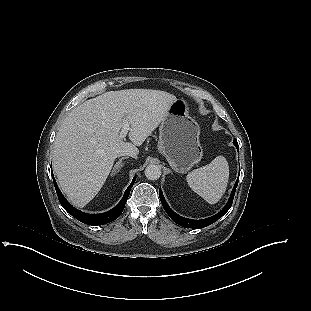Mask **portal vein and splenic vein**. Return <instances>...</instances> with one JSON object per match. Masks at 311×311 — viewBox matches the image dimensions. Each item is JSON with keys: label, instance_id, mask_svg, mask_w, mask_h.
I'll return each instance as SVG.
<instances>
[{"label": "portal vein and splenic vein", "instance_id": "1", "mask_svg": "<svg viewBox=\"0 0 311 311\" xmlns=\"http://www.w3.org/2000/svg\"><path fill=\"white\" fill-rule=\"evenodd\" d=\"M129 130H130V125H129L128 121L125 120L123 122V127H122L121 132H120V138L124 139Z\"/></svg>", "mask_w": 311, "mask_h": 311}]
</instances>
